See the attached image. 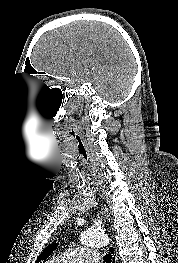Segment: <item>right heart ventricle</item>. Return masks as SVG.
Returning a JSON list of instances; mask_svg holds the SVG:
<instances>
[{
  "label": "right heart ventricle",
  "instance_id": "obj_1",
  "mask_svg": "<svg viewBox=\"0 0 178 263\" xmlns=\"http://www.w3.org/2000/svg\"><path fill=\"white\" fill-rule=\"evenodd\" d=\"M48 263H60V262H58L56 259H52V260L48 261Z\"/></svg>",
  "mask_w": 178,
  "mask_h": 263
}]
</instances>
